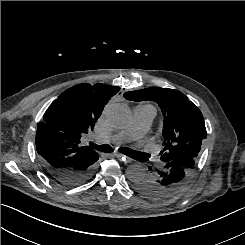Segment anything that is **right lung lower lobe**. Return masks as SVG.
I'll use <instances>...</instances> for the list:
<instances>
[{
    "label": "right lung lower lobe",
    "instance_id": "right-lung-lower-lobe-1",
    "mask_svg": "<svg viewBox=\"0 0 245 245\" xmlns=\"http://www.w3.org/2000/svg\"><path fill=\"white\" fill-rule=\"evenodd\" d=\"M98 160V159H97ZM70 169H56L42 162L46 173L59 184L74 187L90 180L96 169V161Z\"/></svg>",
    "mask_w": 245,
    "mask_h": 245
}]
</instances>
